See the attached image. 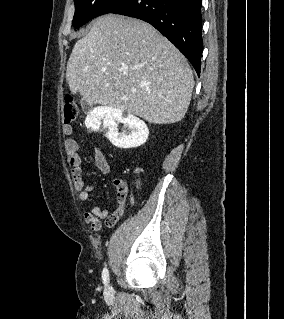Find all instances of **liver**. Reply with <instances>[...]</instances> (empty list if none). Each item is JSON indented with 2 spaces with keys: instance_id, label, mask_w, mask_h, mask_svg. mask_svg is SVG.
<instances>
[{
  "instance_id": "obj_1",
  "label": "liver",
  "mask_w": 284,
  "mask_h": 319,
  "mask_svg": "<svg viewBox=\"0 0 284 319\" xmlns=\"http://www.w3.org/2000/svg\"><path fill=\"white\" fill-rule=\"evenodd\" d=\"M66 80L90 105L156 124L181 121L194 87L186 58L167 38L146 22L113 14L75 43Z\"/></svg>"
}]
</instances>
